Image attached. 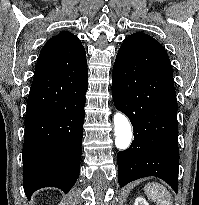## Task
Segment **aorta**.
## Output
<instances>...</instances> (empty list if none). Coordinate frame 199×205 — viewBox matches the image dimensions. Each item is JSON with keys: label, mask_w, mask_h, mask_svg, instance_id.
Masks as SVG:
<instances>
[{"label": "aorta", "mask_w": 199, "mask_h": 205, "mask_svg": "<svg viewBox=\"0 0 199 205\" xmlns=\"http://www.w3.org/2000/svg\"><path fill=\"white\" fill-rule=\"evenodd\" d=\"M115 145L119 150H125L130 146L132 139L131 125L127 117L120 112L114 115Z\"/></svg>", "instance_id": "1"}]
</instances>
